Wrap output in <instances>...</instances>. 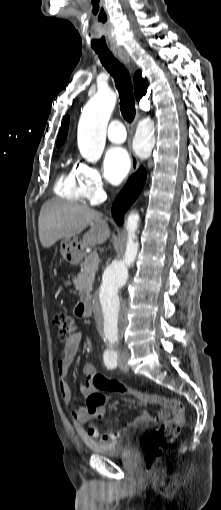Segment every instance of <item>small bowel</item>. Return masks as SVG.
Instances as JSON below:
<instances>
[{"mask_svg":"<svg viewBox=\"0 0 221 510\" xmlns=\"http://www.w3.org/2000/svg\"><path fill=\"white\" fill-rule=\"evenodd\" d=\"M81 334L79 332L75 333L72 337L71 341L66 343L62 349V355L59 361L57 362V369L59 373V388L62 398L66 404H71L73 400L72 391L70 385L67 380V375L69 369L76 358L80 345H81ZM82 373L85 377L83 383L80 385V392L84 397L92 393H100L97 391L90 382L91 377L96 373V369L92 364H85L82 368ZM155 395V394H154ZM105 407L104 403L94 406L92 408L87 407H79L72 411V416L79 423L90 422L96 419H100L105 416ZM156 419L152 418V416L147 411L138 412L134 420L124 426L117 432H111L102 434L98 429L92 428L89 430L90 435L98 438L101 441H113L118 439L122 435L128 433L132 429H136L138 427L146 426L151 421Z\"/></svg>","mask_w":221,"mask_h":510,"instance_id":"obj_1","label":"small bowel"}]
</instances>
